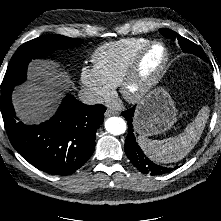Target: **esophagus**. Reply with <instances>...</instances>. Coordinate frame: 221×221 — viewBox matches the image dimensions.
<instances>
[{
	"mask_svg": "<svg viewBox=\"0 0 221 221\" xmlns=\"http://www.w3.org/2000/svg\"><path fill=\"white\" fill-rule=\"evenodd\" d=\"M118 112L113 110V109H107L106 112H105V116L106 117H109V116H112V115H117Z\"/></svg>",
	"mask_w": 221,
	"mask_h": 221,
	"instance_id": "1",
	"label": "esophagus"
}]
</instances>
